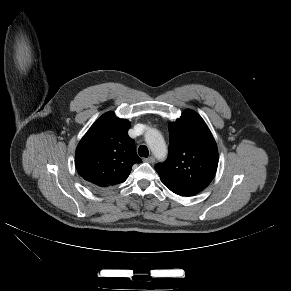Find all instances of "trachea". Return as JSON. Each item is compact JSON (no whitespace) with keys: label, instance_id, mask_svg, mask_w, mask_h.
I'll return each mask as SVG.
<instances>
[{"label":"trachea","instance_id":"3493384b","mask_svg":"<svg viewBox=\"0 0 291 291\" xmlns=\"http://www.w3.org/2000/svg\"><path fill=\"white\" fill-rule=\"evenodd\" d=\"M138 154L141 157H148L149 156V150L145 145H141L138 149Z\"/></svg>","mask_w":291,"mask_h":291}]
</instances>
